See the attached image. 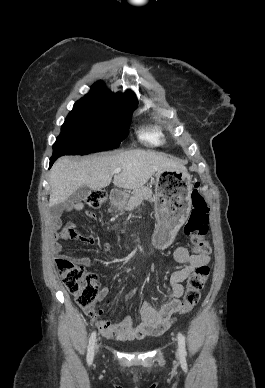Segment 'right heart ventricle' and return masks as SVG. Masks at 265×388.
Returning <instances> with one entry per match:
<instances>
[{"mask_svg": "<svg viewBox=\"0 0 265 388\" xmlns=\"http://www.w3.org/2000/svg\"><path fill=\"white\" fill-rule=\"evenodd\" d=\"M146 137L153 142H158L159 138L161 137V133L159 129L155 128L150 133H148Z\"/></svg>", "mask_w": 265, "mask_h": 388, "instance_id": "e07e8e85", "label": "right heart ventricle"}]
</instances>
